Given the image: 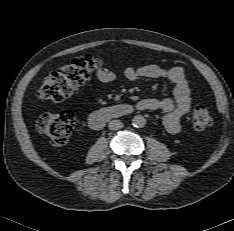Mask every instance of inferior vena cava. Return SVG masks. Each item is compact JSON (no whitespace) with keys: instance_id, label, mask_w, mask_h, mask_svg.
Listing matches in <instances>:
<instances>
[{"instance_id":"1","label":"inferior vena cava","mask_w":234,"mask_h":231,"mask_svg":"<svg viewBox=\"0 0 234 231\" xmlns=\"http://www.w3.org/2000/svg\"><path fill=\"white\" fill-rule=\"evenodd\" d=\"M108 127L110 130H119L123 127V123L120 120H112L109 122Z\"/></svg>"}]
</instances>
